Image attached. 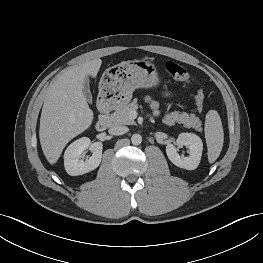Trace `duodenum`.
<instances>
[{"label":"duodenum","mask_w":263,"mask_h":263,"mask_svg":"<svg viewBox=\"0 0 263 263\" xmlns=\"http://www.w3.org/2000/svg\"><path fill=\"white\" fill-rule=\"evenodd\" d=\"M99 112H100V116L96 123V130L98 132H103L107 129L110 122V116H109L110 108L106 105L105 102H100Z\"/></svg>","instance_id":"1"}]
</instances>
